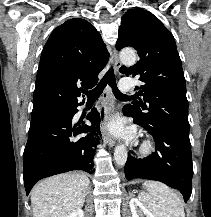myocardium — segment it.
<instances>
[{
    "label": "myocardium",
    "mask_w": 211,
    "mask_h": 217,
    "mask_svg": "<svg viewBox=\"0 0 211 217\" xmlns=\"http://www.w3.org/2000/svg\"><path fill=\"white\" fill-rule=\"evenodd\" d=\"M154 150L155 142L152 139L147 138L142 142L139 152L142 156H149L154 152Z\"/></svg>",
    "instance_id": "myocardium-1"
}]
</instances>
